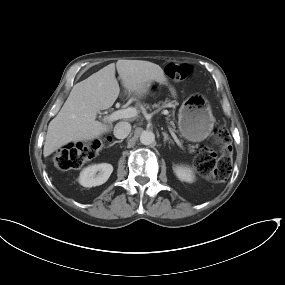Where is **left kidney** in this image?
I'll list each match as a JSON object with an SVG mask.
<instances>
[{
    "instance_id": "obj_1",
    "label": "left kidney",
    "mask_w": 285,
    "mask_h": 285,
    "mask_svg": "<svg viewBox=\"0 0 285 285\" xmlns=\"http://www.w3.org/2000/svg\"><path fill=\"white\" fill-rule=\"evenodd\" d=\"M174 172L176 176L181 180L185 182L192 183L195 179L194 173L192 168L188 166L183 165H176L174 168Z\"/></svg>"
}]
</instances>
